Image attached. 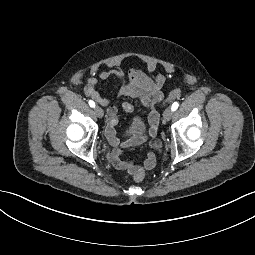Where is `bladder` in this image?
Segmentation results:
<instances>
[{
    "label": "bladder",
    "instance_id": "31cf9c89",
    "mask_svg": "<svg viewBox=\"0 0 255 255\" xmlns=\"http://www.w3.org/2000/svg\"><path fill=\"white\" fill-rule=\"evenodd\" d=\"M145 132L146 123L144 119L139 116L134 117L127 128V133L130 135H143Z\"/></svg>",
    "mask_w": 255,
    "mask_h": 255
}]
</instances>
